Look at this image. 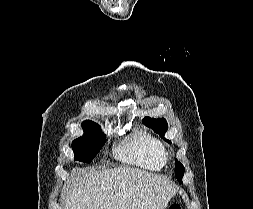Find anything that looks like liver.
I'll use <instances>...</instances> for the list:
<instances>
[{
	"instance_id": "obj_1",
	"label": "liver",
	"mask_w": 253,
	"mask_h": 209,
	"mask_svg": "<svg viewBox=\"0 0 253 209\" xmlns=\"http://www.w3.org/2000/svg\"><path fill=\"white\" fill-rule=\"evenodd\" d=\"M176 185L133 167L77 168L64 187V209H166Z\"/></svg>"
}]
</instances>
